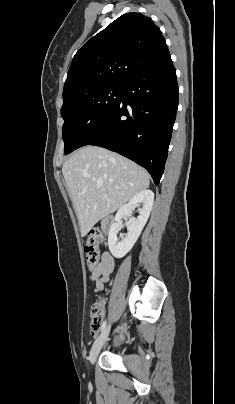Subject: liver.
<instances>
[{
	"instance_id": "liver-1",
	"label": "liver",
	"mask_w": 235,
	"mask_h": 404,
	"mask_svg": "<svg viewBox=\"0 0 235 404\" xmlns=\"http://www.w3.org/2000/svg\"><path fill=\"white\" fill-rule=\"evenodd\" d=\"M62 173L82 236L149 187L148 172L133 161L97 146L77 150Z\"/></svg>"
}]
</instances>
